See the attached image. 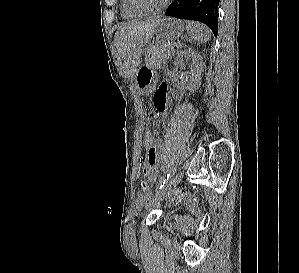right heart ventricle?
I'll return each instance as SVG.
<instances>
[{
	"instance_id": "1",
	"label": "right heart ventricle",
	"mask_w": 299,
	"mask_h": 273,
	"mask_svg": "<svg viewBox=\"0 0 299 273\" xmlns=\"http://www.w3.org/2000/svg\"><path fill=\"white\" fill-rule=\"evenodd\" d=\"M120 14L123 19L128 21H136L144 16V14L134 11L130 7L128 0H120Z\"/></svg>"
}]
</instances>
